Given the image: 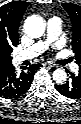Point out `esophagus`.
I'll list each match as a JSON object with an SVG mask.
<instances>
[{
    "label": "esophagus",
    "mask_w": 81,
    "mask_h": 124,
    "mask_svg": "<svg viewBox=\"0 0 81 124\" xmlns=\"http://www.w3.org/2000/svg\"><path fill=\"white\" fill-rule=\"evenodd\" d=\"M44 66H48V67H57L56 64H53V63H51V62H46V63H44Z\"/></svg>",
    "instance_id": "34e87169"
}]
</instances>
